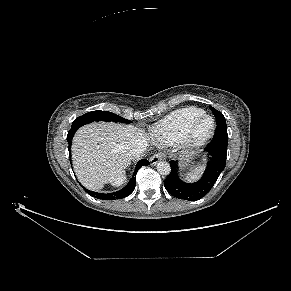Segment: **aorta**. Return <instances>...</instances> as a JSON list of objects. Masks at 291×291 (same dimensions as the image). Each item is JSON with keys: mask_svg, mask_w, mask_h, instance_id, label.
Listing matches in <instances>:
<instances>
[{"mask_svg": "<svg viewBox=\"0 0 291 291\" xmlns=\"http://www.w3.org/2000/svg\"><path fill=\"white\" fill-rule=\"evenodd\" d=\"M157 171L161 174V175H168L171 171V167L170 164L166 161H160L157 163Z\"/></svg>", "mask_w": 291, "mask_h": 291, "instance_id": "762f6f07", "label": "aorta"}]
</instances>
